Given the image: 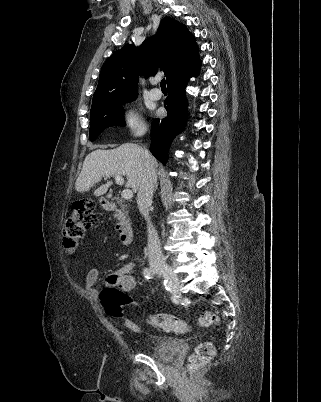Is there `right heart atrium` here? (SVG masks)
Wrapping results in <instances>:
<instances>
[{"instance_id":"right-heart-atrium-1","label":"right heart atrium","mask_w":321,"mask_h":402,"mask_svg":"<svg viewBox=\"0 0 321 402\" xmlns=\"http://www.w3.org/2000/svg\"><path fill=\"white\" fill-rule=\"evenodd\" d=\"M122 120L129 132L135 136L143 134L146 130L144 122L134 109H126L122 114Z\"/></svg>"}]
</instances>
